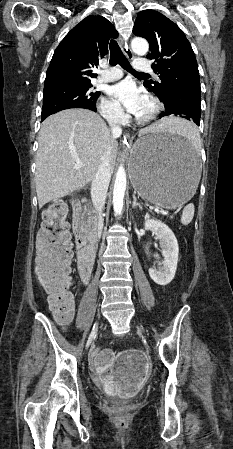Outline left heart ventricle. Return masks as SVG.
<instances>
[{
  "mask_svg": "<svg viewBox=\"0 0 233 449\" xmlns=\"http://www.w3.org/2000/svg\"><path fill=\"white\" fill-rule=\"evenodd\" d=\"M150 110H151V105H150L149 101L146 100V102L143 106V109L141 110V112L139 113L138 116H145L150 112Z\"/></svg>",
  "mask_w": 233,
  "mask_h": 449,
  "instance_id": "obj_1",
  "label": "left heart ventricle"
}]
</instances>
